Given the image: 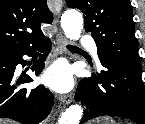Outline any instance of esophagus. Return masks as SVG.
I'll return each mask as SVG.
<instances>
[{
    "label": "esophagus",
    "mask_w": 145,
    "mask_h": 124,
    "mask_svg": "<svg viewBox=\"0 0 145 124\" xmlns=\"http://www.w3.org/2000/svg\"><path fill=\"white\" fill-rule=\"evenodd\" d=\"M53 10L56 14H58L61 10V4H55ZM56 44H57V50L60 54H64V55L68 54V50H67L68 41L61 32H59L56 36ZM59 100L63 104H70L73 101V95L72 94L61 95Z\"/></svg>",
    "instance_id": "esophagus-1"
}]
</instances>
